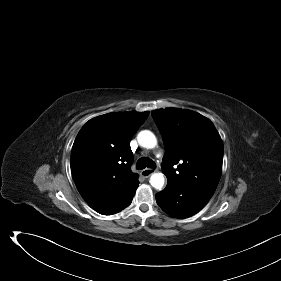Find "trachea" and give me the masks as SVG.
<instances>
[{
    "label": "trachea",
    "instance_id": "3493384b",
    "mask_svg": "<svg viewBox=\"0 0 281 281\" xmlns=\"http://www.w3.org/2000/svg\"><path fill=\"white\" fill-rule=\"evenodd\" d=\"M155 168L156 164L149 158L142 157L137 161L136 168L142 170L144 168Z\"/></svg>",
    "mask_w": 281,
    "mask_h": 281
}]
</instances>
